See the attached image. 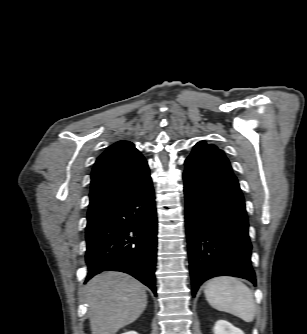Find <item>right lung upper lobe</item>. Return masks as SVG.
Masks as SVG:
<instances>
[{
	"mask_svg": "<svg viewBox=\"0 0 307 334\" xmlns=\"http://www.w3.org/2000/svg\"><path fill=\"white\" fill-rule=\"evenodd\" d=\"M149 179L147 161L134 144L123 140L114 143L94 164L87 218L93 217Z\"/></svg>",
	"mask_w": 307,
	"mask_h": 334,
	"instance_id": "cb5924a9",
	"label": "right lung upper lobe"
}]
</instances>
